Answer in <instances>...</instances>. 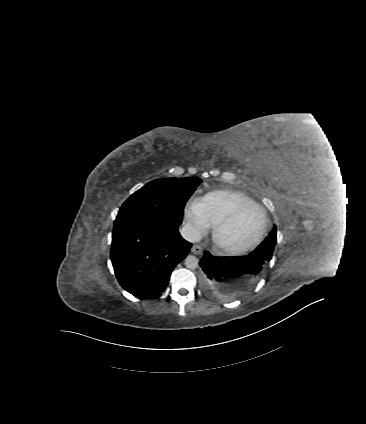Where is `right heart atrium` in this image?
Returning <instances> with one entry per match:
<instances>
[{
    "label": "right heart atrium",
    "mask_w": 366,
    "mask_h": 424,
    "mask_svg": "<svg viewBox=\"0 0 366 424\" xmlns=\"http://www.w3.org/2000/svg\"><path fill=\"white\" fill-rule=\"evenodd\" d=\"M185 222L190 234L194 237L204 235L210 224L204 214L202 199L194 198L186 206Z\"/></svg>",
    "instance_id": "1"
}]
</instances>
